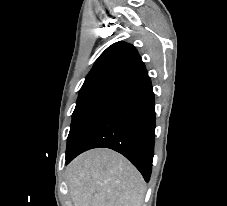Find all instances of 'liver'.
I'll use <instances>...</instances> for the list:
<instances>
[{"mask_svg":"<svg viewBox=\"0 0 227 206\" xmlns=\"http://www.w3.org/2000/svg\"><path fill=\"white\" fill-rule=\"evenodd\" d=\"M66 182L73 206H142L146 191L143 177L125 157L102 148L74 159Z\"/></svg>","mask_w":227,"mask_h":206,"instance_id":"1","label":"liver"}]
</instances>
